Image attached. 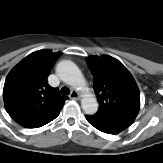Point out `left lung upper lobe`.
<instances>
[{"label":"left lung upper lobe","mask_w":163,"mask_h":163,"mask_svg":"<svg viewBox=\"0 0 163 163\" xmlns=\"http://www.w3.org/2000/svg\"><path fill=\"white\" fill-rule=\"evenodd\" d=\"M94 77L93 88L99 102L94 115L134 121L140 107V94L131 73L117 59L103 55L86 59Z\"/></svg>","instance_id":"5c2ea615"}]
</instances>
